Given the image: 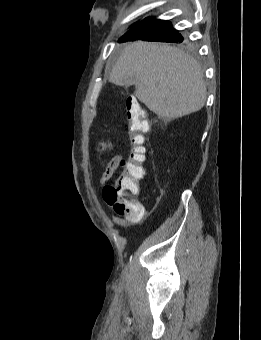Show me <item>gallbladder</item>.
I'll return each mask as SVG.
<instances>
[{"label": "gallbladder", "instance_id": "1", "mask_svg": "<svg viewBox=\"0 0 261 340\" xmlns=\"http://www.w3.org/2000/svg\"><path fill=\"white\" fill-rule=\"evenodd\" d=\"M133 83H128V84H126V86H130V85H132Z\"/></svg>", "mask_w": 261, "mask_h": 340}]
</instances>
